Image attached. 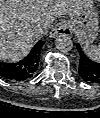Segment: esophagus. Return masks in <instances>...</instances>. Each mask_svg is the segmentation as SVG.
<instances>
[{"label": "esophagus", "instance_id": "esophagus-1", "mask_svg": "<svg viewBox=\"0 0 100 118\" xmlns=\"http://www.w3.org/2000/svg\"><path fill=\"white\" fill-rule=\"evenodd\" d=\"M71 33H72V30L70 28L69 23L67 21H61L52 27V29L49 33V36L51 38H56L61 35L69 36V35H71Z\"/></svg>", "mask_w": 100, "mask_h": 118}]
</instances>
